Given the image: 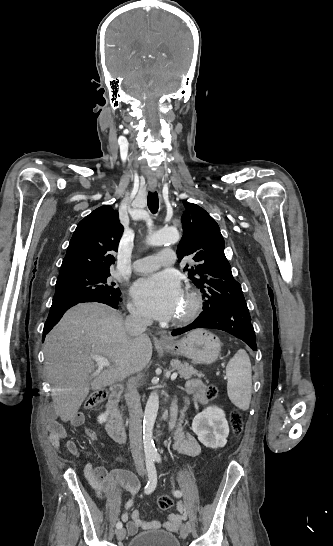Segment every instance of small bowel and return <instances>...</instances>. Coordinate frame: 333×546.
<instances>
[{"mask_svg": "<svg viewBox=\"0 0 333 546\" xmlns=\"http://www.w3.org/2000/svg\"><path fill=\"white\" fill-rule=\"evenodd\" d=\"M187 392L193 396L194 400L200 404H205L207 401L205 392V385L200 379H192L186 385ZM175 421V416L173 414L170 426L173 427ZM73 422L76 425H80L83 422L82 415H78ZM49 430V441L51 445L59 450L61 447V442H65V446L69 452L75 456L79 454L76 444L68 438V435L64 428L54 419L48 422ZM85 434L87 438L94 443L96 440V433L90 429H85ZM174 447L183 454L189 456H197L201 452V445L197 439L189 434L184 433L181 425L177 428L174 437ZM85 473L88 479L91 480L92 484L96 487V496L98 499L106 498L110 501H115L117 497V486L116 483L108 476L104 468L100 466L93 465L91 463H86ZM125 487H130L132 481L130 477H127L121 484ZM126 511L122 514L121 519L126 523L127 531L130 534L137 532L138 528L141 527L144 523L141 519L140 513L137 509H134V501L129 500L125 506ZM178 513L170 514L166 521H153L150 522V525L161 526L164 529L170 532H176L180 528L182 522L184 521V512L185 507L182 502H178L176 505Z\"/></svg>", "mask_w": 333, "mask_h": 546, "instance_id": "obj_1", "label": "small bowel"}]
</instances>
